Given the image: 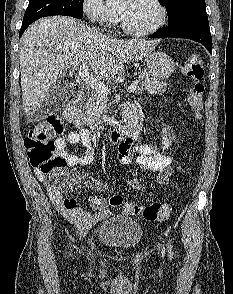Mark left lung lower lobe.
<instances>
[{"label": "left lung lower lobe", "mask_w": 233, "mask_h": 294, "mask_svg": "<svg viewBox=\"0 0 233 294\" xmlns=\"http://www.w3.org/2000/svg\"><path fill=\"white\" fill-rule=\"evenodd\" d=\"M186 38L204 45L208 51H212V38L209 30L207 15H185L178 20L168 23L164 29L158 30L149 38Z\"/></svg>", "instance_id": "left-lung-lower-lobe-1"}]
</instances>
